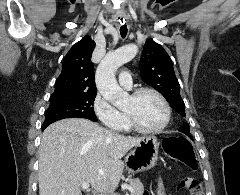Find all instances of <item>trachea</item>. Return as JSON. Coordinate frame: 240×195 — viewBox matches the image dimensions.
Here are the masks:
<instances>
[{
  "instance_id": "trachea-1",
  "label": "trachea",
  "mask_w": 240,
  "mask_h": 195,
  "mask_svg": "<svg viewBox=\"0 0 240 195\" xmlns=\"http://www.w3.org/2000/svg\"><path fill=\"white\" fill-rule=\"evenodd\" d=\"M120 35L122 38H125L126 35H127V27L126 25H123L121 28H120Z\"/></svg>"
}]
</instances>
